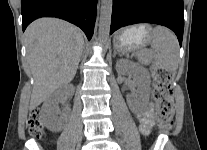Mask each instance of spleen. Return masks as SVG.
Instances as JSON below:
<instances>
[{
    "mask_svg": "<svg viewBox=\"0 0 207 150\" xmlns=\"http://www.w3.org/2000/svg\"><path fill=\"white\" fill-rule=\"evenodd\" d=\"M151 46L155 53L153 58L161 68L174 72L178 68L179 43L175 34L168 28L157 26L152 30Z\"/></svg>",
    "mask_w": 207,
    "mask_h": 150,
    "instance_id": "1",
    "label": "spleen"
}]
</instances>
